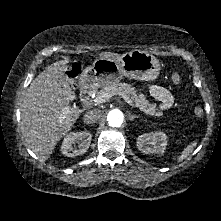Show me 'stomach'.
Listing matches in <instances>:
<instances>
[{"mask_svg":"<svg viewBox=\"0 0 221 221\" xmlns=\"http://www.w3.org/2000/svg\"><path fill=\"white\" fill-rule=\"evenodd\" d=\"M160 73L155 56L140 50L121 55L117 59L99 57L83 70L79 85L82 88L104 87L118 83L123 76L129 79L154 81Z\"/></svg>","mask_w":221,"mask_h":221,"instance_id":"0dacf381","label":"stomach"}]
</instances>
